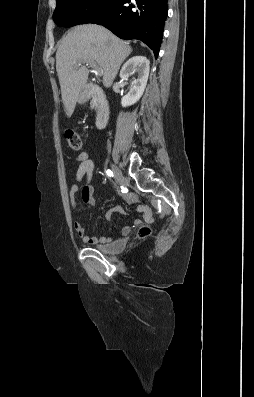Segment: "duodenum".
Returning <instances> with one entry per match:
<instances>
[{"instance_id":"1","label":"duodenum","mask_w":254,"mask_h":397,"mask_svg":"<svg viewBox=\"0 0 254 397\" xmlns=\"http://www.w3.org/2000/svg\"><path fill=\"white\" fill-rule=\"evenodd\" d=\"M85 96L88 98H96L97 100V112L95 118V124L98 129H102L106 126L109 115L110 106L109 101L103 92V90L94 84H87L84 90Z\"/></svg>"}]
</instances>
